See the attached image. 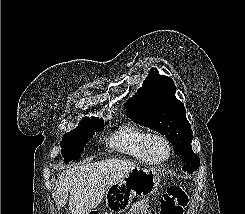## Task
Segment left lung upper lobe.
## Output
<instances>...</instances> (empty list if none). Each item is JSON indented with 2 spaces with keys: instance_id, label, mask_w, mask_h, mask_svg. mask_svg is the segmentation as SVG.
Here are the masks:
<instances>
[{
  "instance_id": "left-lung-upper-lobe-1",
  "label": "left lung upper lobe",
  "mask_w": 245,
  "mask_h": 214,
  "mask_svg": "<svg viewBox=\"0 0 245 214\" xmlns=\"http://www.w3.org/2000/svg\"><path fill=\"white\" fill-rule=\"evenodd\" d=\"M175 92L172 78L152 69L134 98L124 106L133 121L165 135L174 152L185 162L183 170L192 173L200 166V160L192 150L193 136L186 110Z\"/></svg>"
}]
</instances>
